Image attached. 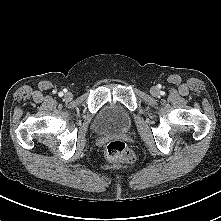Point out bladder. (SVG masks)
Returning a JSON list of instances; mask_svg holds the SVG:
<instances>
[{
    "mask_svg": "<svg viewBox=\"0 0 221 221\" xmlns=\"http://www.w3.org/2000/svg\"><path fill=\"white\" fill-rule=\"evenodd\" d=\"M131 125L132 116L124 106L118 103H106L96 113L92 129L97 134L106 135L126 132Z\"/></svg>",
    "mask_w": 221,
    "mask_h": 221,
    "instance_id": "1",
    "label": "bladder"
}]
</instances>
